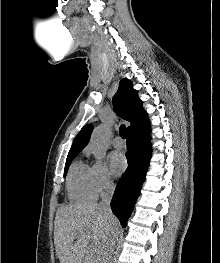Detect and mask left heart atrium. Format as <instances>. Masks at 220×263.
<instances>
[{
	"label": "left heart atrium",
	"mask_w": 220,
	"mask_h": 263,
	"mask_svg": "<svg viewBox=\"0 0 220 263\" xmlns=\"http://www.w3.org/2000/svg\"><path fill=\"white\" fill-rule=\"evenodd\" d=\"M110 163H111L112 171L115 175H120L127 167L126 158L119 151H115L111 153Z\"/></svg>",
	"instance_id": "obj_1"
}]
</instances>
